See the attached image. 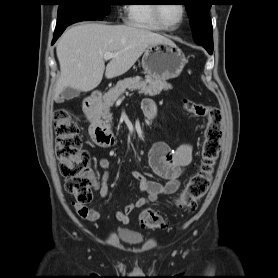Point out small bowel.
Segmentation results:
<instances>
[{
	"mask_svg": "<svg viewBox=\"0 0 278 278\" xmlns=\"http://www.w3.org/2000/svg\"><path fill=\"white\" fill-rule=\"evenodd\" d=\"M143 111L148 119H155L158 116L157 106L151 99L144 100ZM148 161L151 169L157 175L163 177L166 182L152 181L143 173L133 171L132 175L138 181L140 190L146 193L147 196L129 203L123 210L116 212V220L123 224L130 222V214L135 209L155 202L160 195L174 194L179 189L184 168L192 161V146L189 143H184L175 149H171L165 143H154L149 150ZM99 166L104 170V173L101 180L99 182L96 181L94 184V189L102 197H107L110 193L108 185L110 162L107 158H101ZM74 207L81 217L89 221H95L100 216L98 211L86 205L74 203Z\"/></svg>",
	"mask_w": 278,
	"mask_h": 278,
	"instance_id": "obj_1",
	"label": "small bowel"
}]
</instances>
